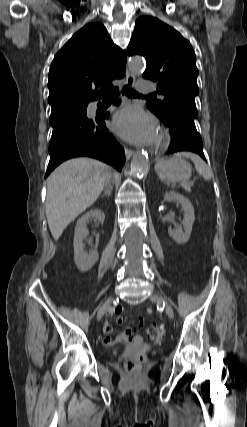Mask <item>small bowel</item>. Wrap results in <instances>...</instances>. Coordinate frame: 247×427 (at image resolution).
I'll list each match as a JSON object with an SVG mask.
<instances>
[{
	"mask_svg": "<svg viewBox=\"0 0 247 427\" xmlns=\"http://www.w3.org/2000/svg\"><path fill=\"white\" fill-rule=\"evenodd\" d=\"M121 312H122V308L121 307H116L114 310V313L116 314V322L118 324H121L123 322V317L121 316ZM147 315H150L152 313L151 309H147L146 311ZM143 324V320L141 319L138 326L136 327H129L127 328L123 333L119 334L116 337V340L121 342V341H140L142 340V336L140 334H138V329L142 326ZM103 330L105 333V337L103 339V343L106 345H109L112 343V325L108 322L105 321L103 324Z\"/></svg>",
	"mask_w": 247,
	"mask_h": 427,
	"instance_id": "small-bowel-1",
	"label": "small bowel"
}]
</instances>
